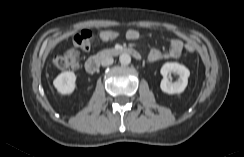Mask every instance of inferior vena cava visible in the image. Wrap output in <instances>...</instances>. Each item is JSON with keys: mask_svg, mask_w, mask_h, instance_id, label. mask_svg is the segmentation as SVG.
<instances>
[{"mask_svg": "<svg viewBox=\"0 0 244 157\" xmlns=\"http://www.w3.org/2000/svg\"><path fill=\"white\" fill-rule=\"evenodd\" d=\"M113 57L111 56H105L104 58H102L101 60V65L102 66H109L111 64H113Z\"/></svg>", "mask_w": 244, "mask_h": 157, "instance_id": "inferior-vena-cava-1", "label": "inferior vena cava"}]
</instances>
